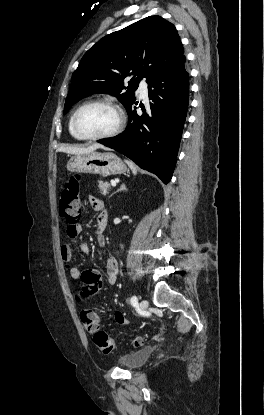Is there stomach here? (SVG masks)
<instances>
[{"instance_id":"stomach-1","label":"stomach","mask_w":264,"mask_h":415,"mask_svg":"<svg viewBox=\"0 0 264 415\" xmlns=\"http://www.w3.org/2000/svg\"><path fill=\"white\" fill-rule=\"evenodd\" d=\"M67 170L77 173L99 174L104 177L127 171L123 161L112 152L77 154L70 158Z\"/></svg>"}]
</instances>
